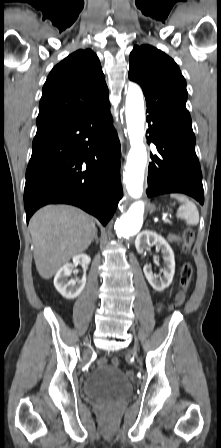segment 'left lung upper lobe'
I'll return each instance as SVG.
<instances>
[{"label": "left lung upper lobe", "mask_w": 221, "mask_h": 448, "mask_svg": "<svg viewBox=\"0 0 221 448\" xmlns=\"http://www.w3.org/2000/svg\"><path fill=\"white\" fill-rule=\"evenodd\" d=\"M129 61V79L141 86L147 112L193 133L185 107L186 81L174 60L153 46L141 45L134 47Z\"/></svg>", "instance_id": "obj_1"}]
</instances>
